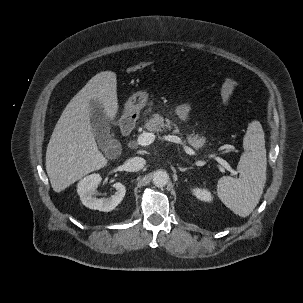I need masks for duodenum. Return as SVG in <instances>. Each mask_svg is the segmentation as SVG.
Segmentation results:
<instances>
[{"label": "duodenum", "mask_w": 303, "mask_h": 303, "mask_svg": "<svg viewBox=\"0 0 303 303\" xmlns=\"http://www.w3.org/2000/svg\"><path fill=\"white\" fill-rule=\"evenodd\" d=\"M133 128V122L129 119L124 120L122 124V131L125 135L129 134Z\"/></svg>", "instance_id": "1"}]
</instances>
